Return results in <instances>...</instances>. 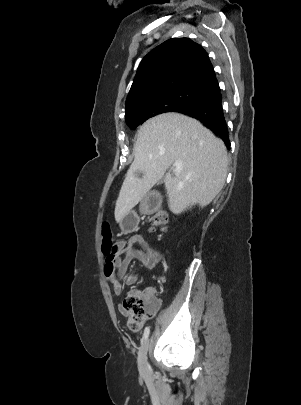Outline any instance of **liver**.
Returning a JSON list of instances; mask_svg holds the SVG:
<instances>
[{
  "mask_svg": "<svg viewBox=\"0 0 301 405\" xmlns=\"http://www.w3.org/2000/svg\"><path fill=\"white\" fill-rule=\"evenodd\" d=\"M179 161L181 165L175 167ZM227 151L222 140L199 121L178 113L147 120L138 130L135 158L115 206L120 223L164 176L168 206L180 214L192 206H207L221 191L227 176ZM142 171V178L137 172ZM172 172V173H171Z\"/></svg>",
  "mask_w": 301,
  "mask_h": 405,
  "instance_id": "1",
  "label": "liver"
}]
</instances>
